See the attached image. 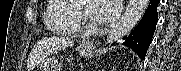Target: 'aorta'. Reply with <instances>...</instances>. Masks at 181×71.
Segmentation results:
<instances>
[{"label":"aorta","mask_w":181,"mask_h":71,"mask_svg":"<svg viewBox=\"0 0 181 71\" xmlns=\"http://www.w3.org/2000/svg\"><path fill=\"white\" fill-rule=\"evenodd\" d=\"M148 4L149 0H130L126 11L109 32L106 44H113L129 34L143 17Z\"/></svg>","instance_id":"762f6f07"}]
</instances>
